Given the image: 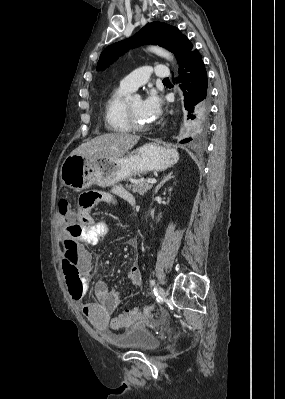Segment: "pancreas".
Returning a JSON list of instances; mask_svg holds the SVG:
<instances>
[{
	"label": "pancreas",
	"instance_id": "1",
	"mask_svg": "<svg viewBox=\"0 0 285 399\" xmlns=\"http://www.w3.org/2000/svg\"><path fill=\"white\" fill-rule=\"evenodd\" d=\"M129 181L130 184L126 185V188L134 193H139L140 195H143L152 188V185H149L146 182H142L135 179H129Z\"/></svg>",
	"mask_w": 285,
	"mask_h": 399
}]
</instances>
